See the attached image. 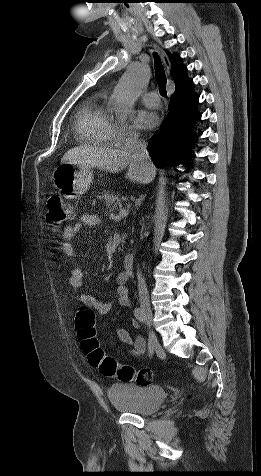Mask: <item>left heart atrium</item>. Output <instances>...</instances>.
<instances>
[{"instance_id":"left-heart-atrium-1","label":"left heart atrium","mask_w":261,"mask_h":476,"mask_svg":"<svg viewBox=\"0 0 261 476\" xmlns=\"http://www.w3.org/2000/svg\"><path fill=\"white\" fill-rule=\"evenodd\" d=\"M134 123L140 129L149 130L158 124V116L154 112L140 110L134 117Z\"/></svg>"}]
</instances>
